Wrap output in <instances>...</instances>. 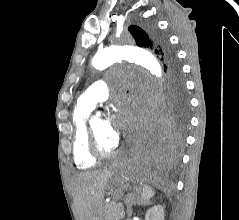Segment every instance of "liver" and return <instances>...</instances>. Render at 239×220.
I'll use <instances>...</instances> for the list:
<instances>
[{
	"label": "liver",
	"instance_id": "obj_1",
	"mask_svg": "<svg viewBox=\"0 0 239 220\" xmlns=\"http://www.w3.org/2000/svg\"><path fill=\"white\" fill-rule=\"evenodd\" d=\"M112 170L87 171L73 177L71 185L79 220L103 219L105 188Z\"/></svg>",
	"mask_w": 239,
	"mask_h": 220
}]
</instances>
